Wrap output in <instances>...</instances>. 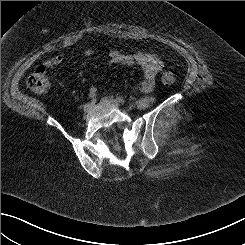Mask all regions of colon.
Masks as SVG:
<instances>
[{
  "mask_svg": "<svg viewBox=\"0 0 245 245\" xmlns=\"http://www.w3.org/2000/svg\"><path fill=\"white\" fill-rule=\"evenodd\" d=\"M161 80L164 85L169 86L175 83L176 75L171 70L162 73ZM28 88L38 95H45L49 89V77L45 67H39L35 72L29 75L27 79Z\"/></svg>",
  "mask_w": 245,
  "mask_h": 245,
  "instance_id": "obj_1",
  "label": "colon"
}]
</instances>
